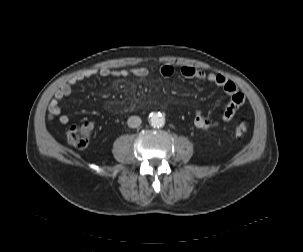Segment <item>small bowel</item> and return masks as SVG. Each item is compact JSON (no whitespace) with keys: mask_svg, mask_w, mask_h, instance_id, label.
Listing matches in <instances>:
<instances>
[{"mask_svg":"<svg viewBox=\"0 0 303 252\" xmlns=\"http://www.w3.org/2000/svg\"><path fill=\"white\" fill-rule=\"evenodd\" d=\"M179 71L181 75L186 78L194 80H206L210 83L215 84L231 98L224 111L216 119H212L205 116L201 110L195 111L193 115V123L198 128H213L217 127L221 123H226L230 121L235 115V113L238 111V109L245 102L244 94L238 89L235 83H233L223 75L207 73L202 70L187 66H182ZM150 72L159 73L164 77H170L175 74L176 68L170 63H165L160 66H153L151 69L139 66L132 67L129 69L90 68L83 70L77 75L73 76L69 81L63 83L56 90L48 106V119L52 120L54 118H57L59 122L63 125L69 123L70 118L66 113L62 112L61 102L64 98L68 97L72 93L73 86L84 81L85 79L92 77L107 78L128 76L144 78L148 76Z\"/></svg>","mask_w":303,"mask_h":252,"instance_id":"obj_1","label":"small bowel"}]
</instances>
